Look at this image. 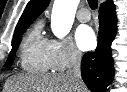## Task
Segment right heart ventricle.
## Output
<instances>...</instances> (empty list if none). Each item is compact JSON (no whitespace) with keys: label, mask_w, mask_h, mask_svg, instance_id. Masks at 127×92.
I'll list each match as a JSON object with an SVG mask.
<instances>
[{"label":"right heart ventricle","mask_w":127,"mask_h":92,"mask_svg":"<svg viewBox=\"0 0 127 92\" xmlns=\"http://www.w3.org/2000/svg\"><path fill=\"white\" fill-rule=\"evenodd\" d=\"M49 40L41 34V23H36L25 35L20 49V66L29 73H48L53 70L48 59Z\"/></svg>","instance_id":"obj_1"}]
</instances>
